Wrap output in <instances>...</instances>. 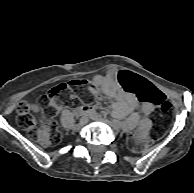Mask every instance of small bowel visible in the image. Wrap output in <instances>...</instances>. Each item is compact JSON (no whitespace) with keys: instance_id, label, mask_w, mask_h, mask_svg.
<instances>
[{"instance_id":"obj_1","label":"small bowel","mask_w":194,"mask_h":193,"mask_svg":"<svg viewBox=\"0 0 194 193\" xmlns=\"http://www.w3.org/2000/svg\"><path fill=\"white\" fill-rule=\"evenodd\" d=\"M146 80V79H145ZM149 82L148 80H146ZM153 88L158 92L161 91L149 82ZM91 93L98 99H111L112 104V115L116 118H129L131 122L135 123L138 121V117L135 114V110L138 105L136 95L133 92L125 91L122 89L121 84L117 79V71L114 69L108 70L104 74H97L92 78ZM162 94V93H161ZM57 110L61 109V105L54 102ZM89 105H82L76 109L78 115L84 114L85 111L90 110ZM154 110V104L144 103L141 106V113L143 119L139 122L136 136L139 139L145 140L147 133L151 128L150 115Z\"/></svg>"}]
</instances>
